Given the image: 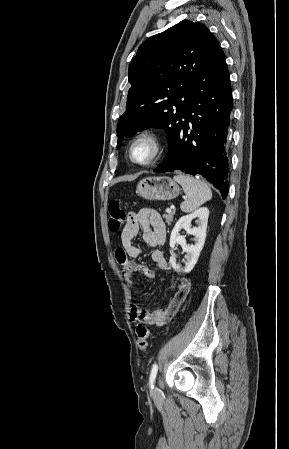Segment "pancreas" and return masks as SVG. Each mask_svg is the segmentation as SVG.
<instances>
[{
    "mask_svg": "<svg viewBox=\"0 0 289 449\" xmlns=\"http://www.w3.org/2000/svg\"><path fill=\"white\" fill-rule=\"evenodd\" d=\"M163 217L165 218V221L168 225H171L174 217V211H171L170 213L164 214Z\"/></svg>",
    "mask_w": 289,
    "mask_h": 449,
    "instance_id": "obj_1",
    "label": "pancreas"
}]
</instances>
